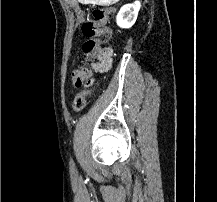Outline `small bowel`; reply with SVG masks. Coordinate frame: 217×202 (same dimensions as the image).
<instances>
[{"instance_id":"small-bowel-1","label":"small bowel","mask_w":217,"mask_h":202,"mask_svg":"<svg viewBox=\"0 0 217 202\" xmlns=\"http://www.w3.org/2000/svg\"><path fill=\"white\" fill-rule=\"evenodd\" d=\"M96 55L100 62V68L102 70H108L112 66L113 50L111 47H105L98 49Z\"/></svg>"}]
</instances>
